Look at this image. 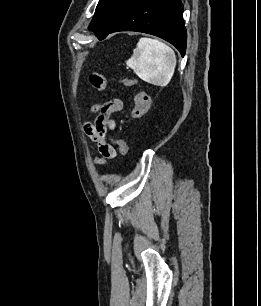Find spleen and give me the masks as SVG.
<instances>
[{
  "label": "spleen",
  "instance_id": "spleen-1",
  "mask_svg": "<svg viewBox=\"0 0 261 306\" xmlns=\"http://www.w3.org/2000/svg\"><path fill=\"white\" fill-rule=\"evenodd\" d=\"M126 64L143 81L165 87L174 74L176 55L173 49L157 39L141 38Z\"/></svg>",
  "mask_w": 261,
  "mask_h": 306
}]
</instances>
